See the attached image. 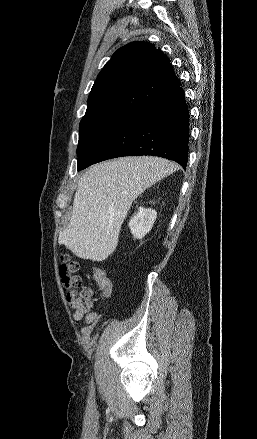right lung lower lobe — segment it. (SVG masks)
Returning <instances> with one entry per match:
<instances>
[{
    "label": "right lung lower lobe",
    "instance_id": "obj_1",
    "mask_svg": "<svg viewBox=\"0 0 257 439\" xmlns=\"http://www.w3.org/2000/svg\"><path fill=\"white\" fill-rule=\"evenodd\" d=\"M189 115L180 86L123 120L101 143L82 169L115 157L152 155L179 163L188 159Z\"/></svg>",
    "mask_w": 257,
    "mask_h": 439
}]
</instances>
